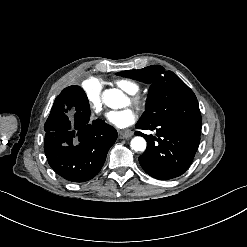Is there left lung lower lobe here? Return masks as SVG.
I'll return each mask as SVG.
<instances>
[{
    "instance_id": "left-lung-lower-lobe-1",
    "label": "left lung lower lobe",
    "mask_w": 247,
    "mask_h": 247,
    "mask_svg": "<svg viewBox=\"0 0 247 247\" xmlns=\"http://www.w3.org/2000/svg\"><path fill=\"white\" fill-rule=\"evenodd\" d=\"M137 129L157 131V138L140 131L135 134L147 141L140 165L150 176L168 180L182 175L191 165L198 149L201 128L182 122H164L156 126L137 125Z\"/></svg>"
}]
</instances>
